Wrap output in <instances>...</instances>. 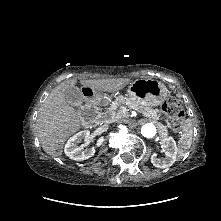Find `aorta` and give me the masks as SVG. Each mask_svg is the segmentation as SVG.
<instances>
[{
    "label": "aorta",
    "mask_w": 221,
    "mask_h": 221,
    "mask_svg": "<svg viewBox=\"0 0 221 221\" xmlns=\"http://www.w3.org/2000/svg\"><path fill=\"white\" fill-rule=\"evenodd\" d=\"M156 132H157L156 127L152 123H147L143 125L141 128L142 135L147 138L154 137L156 135Z\"/></svg>",
    "instance_id": "aorta-1"
}]
</instances>
